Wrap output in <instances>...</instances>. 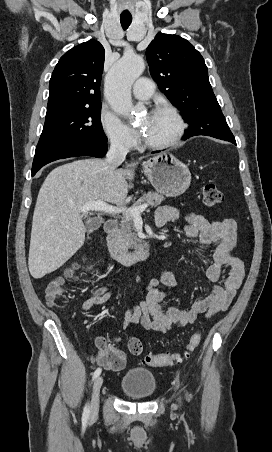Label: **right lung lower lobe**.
Returning a JSON list of instances; mask_svg holds the SVG:
<instances>
[{"label": "right lung lower lobe", "instance_id": "1", "mask_svg": "<svg viewBox=\"0 0 272 452\" xmlns=\"http://www.w3.org/2000/svg\"><path fill=\"white\" fill-rule=\"evenodd\" d=\"M107 152V142L93 144L84 141H75L61 144L38 145L32 165V176L44 165L63 158L92 156L103 157Z\"/></svg>", "mask_w": 272, "mask_h": 452}]
</instances>
